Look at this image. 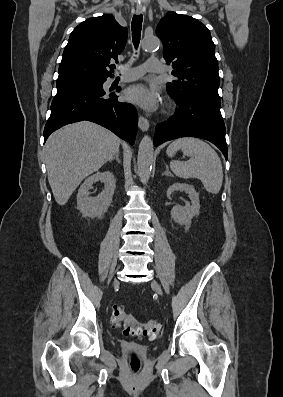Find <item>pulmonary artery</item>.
<instances>
[{
    "label": "pulmonary artery",
    "instance_id": "e3ab8cb5",
    "mask_svg": "<svg viewBox=\"0 0 283 397\" xmlns=\"http://www.w3.org/2000/svg\"><path fill=\"white\" fill-rule=\"evenodd\" d=\"M124 74L120 77V82H131L139 79L143 73H161L163 72V66L158 58L152 57L147 60V62L142 66H137L134 68H122ZM115 80L111 79L110 82Z\"/></svg>",
    "mask_w": 283,
    "mask_h": 397
}]
</instances>
